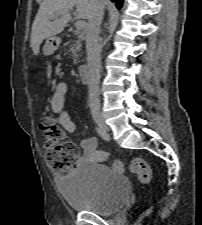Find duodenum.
I'll return each instance as SVG.
<instances>
[{
    "label": "duodenum",
    "instance_id": "obj_1",
    "mask_svg": "<svg viewBox=\"0 0 202 225\" xmlns=\"http://www.w3.org/2000/svg\"><path fill=\"white\" fill-rule=\"evenodd\" d=\"M80 75L84 82H88L90 79V67L88 64H82L79 68Z\"/></svg>",
    "mask_w": 202,
    "mask_h": 225
}]
</instances>
